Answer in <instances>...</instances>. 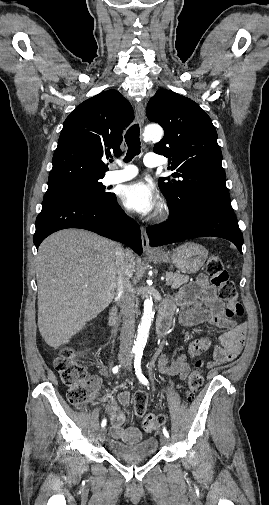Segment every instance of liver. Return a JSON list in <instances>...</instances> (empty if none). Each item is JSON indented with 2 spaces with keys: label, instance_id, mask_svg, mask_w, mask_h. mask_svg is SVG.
<instances>
[{
  "label": "liver",
  "instance_id": "liver-1",
  "mask_svg": "<svg viewBox=\"0 0 269 505\" xmlns=\"http://www.w3.org/2000/svg\"><path fill=\"white\" fill-rule=\"evenodd\" d=\"M118 244L94 233L65 229L46 238L36 258L38 328L50 347L69 341L113 300ZM127 277L135 257L126 249Z\"/></svg>",
  "mask_w": 269,
  "mask_h": 505
}]
</instances>
